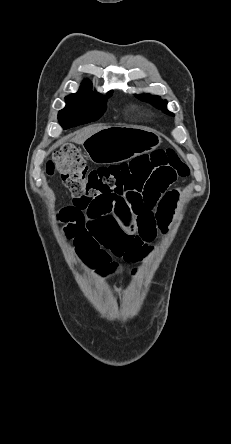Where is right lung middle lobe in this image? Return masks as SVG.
Returning <instances> with one entry per match:
<instances>
[{"label": "right lung middle lobe", "mask_w": 231, "mask_h": 444, "mask_svg": "<svg viewBox=\"0 0 231 444\" xmlns=\"http://www.w3.org/2000/svg\"><path fill=\"white\" fill-rule=\"evenodd\" d=\"M112 91L107 93L110 97ZM66 99V106L59 111L58 119L64 129L96 121L105 110L106 98L98 93L72 94Z\"/></svg>", "instance_id": "1"}]
</instances>
